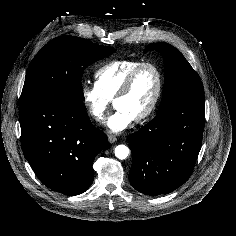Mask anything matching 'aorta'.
Listing matches in <instances>:
<instances>
[{"mask_svg": "<svg viewBox=\"0 0 236 236\" xmlns=\"http://www.w3.org/2000/svg\"><path fill=\"white\" fill-rule=\"evenodd\" d=\"M129 155V148L125 145H118L115 148V156L120 159L124 160L128 157Z\"/></svg>", "mask_w": 236, "mask_h": 236, "instance_id": "aorta-1", "label": "aorta"}]
</instances>
